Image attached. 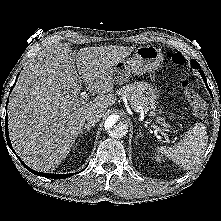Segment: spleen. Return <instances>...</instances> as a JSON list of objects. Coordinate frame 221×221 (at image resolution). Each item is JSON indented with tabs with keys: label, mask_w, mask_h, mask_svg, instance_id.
<instances>
[{
	"label": "spleen",
	"mask_w": 221,
	"mask_h": 221,
	"mask_svg": "<svg viewBox=\"0 0 221 221\" xmlns=\"http://www.w3.org/2000/svg\"><path fill=\"white\" fill-rule=\"evenodd\" d=\"M207 146L205 126L196 123L173 147L161 146L157 148L167 158H170L184 170H190L200 161Z\"/></svg>",
	"instance_id": "1"
}]
</instances>
